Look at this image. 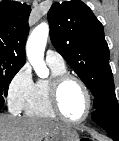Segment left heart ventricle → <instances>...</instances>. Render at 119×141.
<instances>
[{"mask_svg":"<svg viewBox=\"0 0 119 141\" xmlns=\"http://www.w3.org/2000/svg\"><path fill=\"white\" fill-rule=\"evenodd\" d=\"M60 106L63 113L71 119L81 118L87 107L86 98L80 85L68 81L60 92Z\"/></svg>","mask_w":119,"mask_h":141,"instance_id":"left-heart-ventricle-1","label":"left heart ventricle"}]
</instances>
